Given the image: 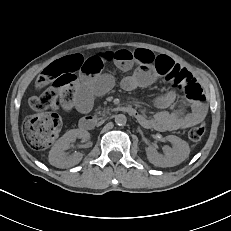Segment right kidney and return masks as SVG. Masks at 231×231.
Listing matches in <instances>:
<instances>
[{"label":"right kidney","mask_w":231,"mask_h":231,"mask_svg":"<svg viewBox=\"0 0 231 231\" xmlns=\"http://www.w3.org/2000/svg\"><path fill=\"white\" fill-rule=\"evenodd\" d=\"M89 137V133L85 130L72 129L67 131L51 148L49 152L50 164L58 168L71 167L78 164L83 157L81 153L76 152L72 155H67L64 151L67 150L70 144L75 142L77 138L87 141Z\"/></svg>","instance_id":"right-kidney-1"}]
</instances>
